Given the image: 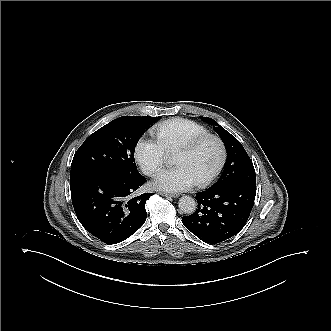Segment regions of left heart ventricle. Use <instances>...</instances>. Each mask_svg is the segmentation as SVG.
I'll return each mask as SVG.
<instances>
[{
    "mask_svg": "<svg viewBox=\"0 0 331 331\" xmlns=\"http://www.w3.org/2000/svg\"><path fill=\"white\" fill-rule=\"evenodd\" d=\"M189 158L190 170L198 177L213 169L218 160V151L214 144L206 143L191 153Z\"/></svg>",
    "mask_w": 331,
    "mask_h": 331,
    "instance_id": "b2bd125f",
    "label": "left heart ventricle"
}]
</instances>
